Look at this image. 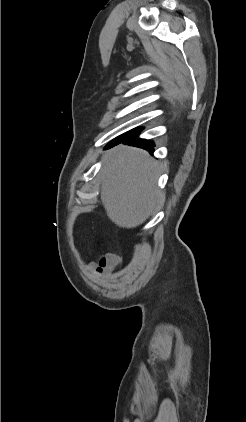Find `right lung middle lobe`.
Instances as JSON below:
<instances>
[{
  "label": "right lung middle lobe",
  "mask_w": 246,
  "mask_h": 422,
  "mask_svg": "<svg viewBox=\"0 0 246 422\" xmlns=\"http://www.w3.org/2000/svg\"><path fill=\"white\" fill-rule=\"evenodd\" d=\"M142 129L141 128H135L129 132L124 133L123 135L115 138L113 141H111L109 144L115 143V142H119V141H123L127 138H130L131 136L138 134Z\"/></svg>",
  "instance_id": "dd1d6c3e"
}]
</instances>
